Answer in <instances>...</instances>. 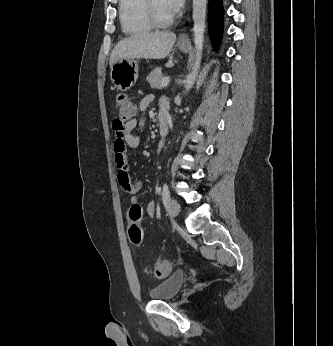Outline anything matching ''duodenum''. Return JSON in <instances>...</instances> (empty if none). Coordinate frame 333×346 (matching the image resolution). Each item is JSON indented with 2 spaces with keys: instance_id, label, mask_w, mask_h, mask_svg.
Masks as SVG:
<instances>
[{
  "instance_id": "410a0bca",
  "label": "duodenum",
  "mask_w": 333,
  "mask_h": 346,
  "mask_svg": "<svg viewBox=\"0 0 333 346\" xmlns=\"http://www.w3.org/2000/svg\"><path fill=\"white\" fill-rule=\"evenodd\" d=\"M158 129L161 137L167 136L169 132V119L163 115L159 116Z\"/></svg>"
}]
</instances>
